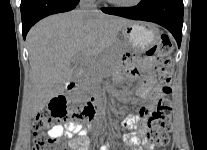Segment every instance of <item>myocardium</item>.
Here are the masks:
<instances>
[{
  "label": "myocardium",
  "instance_id": "obj_1",
  "mask_svg": "<svg viewBox=\"0 0 207 150\" xmlns=\"http://www.w3.org/2000/svg\"><path fill=\"white\" fill-rule=\"evenodd\" d=\"M110 4L119 7V8H133L140 5L143 0H133L131 2H119L116 0H107Z\"/></svg>",
  "mask_w": 207,
  "mask_h": 150
}]
</instances>
